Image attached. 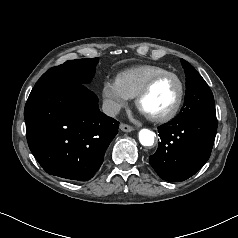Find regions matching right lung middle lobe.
Wrapping results in <instances>:
<instances>
[{
    "mask_svg": "<svg viewBox=\"0 0 238 238\" xmlns=\"http://www.w3.org/2000/svg\"><path fill=\"white\" fill-rule=\"evenodd\" d=\"M98 58L69 60L49 69L37 81L35 86L53 85L62 82H90L95 73Z\"/></svg>",
    "mask_w": 238,
    "mask_h": 238,
    "instance_id": "dd1d6c3e",
    "label": "right lung middle lobe"
}]
</instances>
